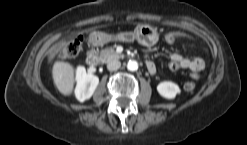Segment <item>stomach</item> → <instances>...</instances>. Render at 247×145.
Here are the masks:
<instances>
[{
    "label": "stomach",
    "instance_id": "stomach-1",
    "mask_svg": "<svg viewBox=\"0 0 247 145\" xmlns=\"http://www.w3.org/2000/svg\"><path fill=\"white\" fill-rule=\"evenodd\" d=\"M120 40L136 39L139 43L145 46H153L158 41L157 28L150 25H140L133 33H122L118 36Z\"/></svg>",
    "mask_w": 247,
    "mask_h": 145
}]
</instances>
